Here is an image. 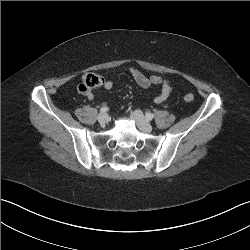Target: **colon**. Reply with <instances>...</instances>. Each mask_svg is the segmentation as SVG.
<instances>
[{
    "label": "colon",
    "instance_id": "obj_1",
    "mask_svg": "<svg viewBox=\"0 0 250 250\" xmlns=\"http://www.w3.org/2000/svg\"><path fill=\"white\" fill-rule=\"evenodd\" d=\"M103 83V79L94 73H88L83 76L81 83L78 85L77 90L80 93H86L88 91H91L99 86H101ZM194 100L193 94H187L184 96L185 102H192Z\"/></svg>",
    "mask_w": 250,
    "mask_h": 250
}]
</instances>
